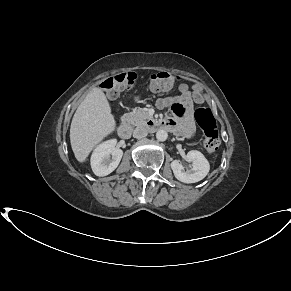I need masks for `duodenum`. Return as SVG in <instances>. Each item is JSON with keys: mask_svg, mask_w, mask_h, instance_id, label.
I'll use <instances>...</instances> for the list:
<instances>
[{"mask_svg": "<svg viewBox=\"0 0 291 291\" xmlns=\"http://www.w3.org/2000/svg\"><path fill=\"white\" fill-rule=\"evenodd\" d=\"M147 126L150 129H154V130L166 128L164 120L163 121L162 120H150L147 122ZM117 132H118L119 136H121L123 138L129 137L131 132H132L130 123L126 119H123L122 122L117 127Z\"/></svg>", "mask_w": 291, "mask_h": 291, "instance_id": "1", "label": "duodenum"}]
</instances>
